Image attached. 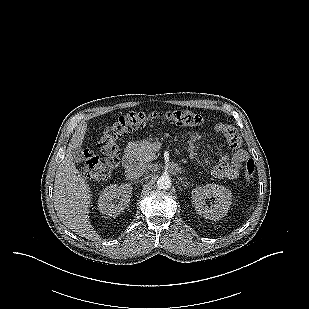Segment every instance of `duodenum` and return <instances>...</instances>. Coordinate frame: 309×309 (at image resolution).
<instances>
[{
    "mask_svg": "<svg viewBox=\"0 0 309 309\" xmlns=\"http://www.w3.org/2000/svg\"><path fill=\"white\" fill-rule=\"evenodd\" d=\"M135 161V154L133 150L128 149L123 156V166L125 168H131Z\"/></svg>",
    "mask_w": 309,
    "mask_h": 309,
    "instance_id": "obj_1",
    "label": "duodenum"
}]
</instances>
